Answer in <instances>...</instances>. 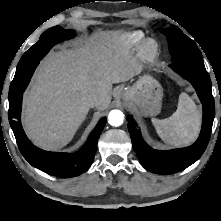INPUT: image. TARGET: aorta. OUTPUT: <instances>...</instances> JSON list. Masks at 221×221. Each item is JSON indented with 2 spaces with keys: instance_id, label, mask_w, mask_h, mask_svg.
<instances>
[{
  "instance_id": "762f6f07",
  "label": "aorta",
  "mask_w": 221,
  "mask_h": 221,
  "mask_svg": "<svg viewBox=\"0 0 221 221\" xmlns=\"http://www.w3.org/2000/svg\"><path fill=\"white\" fill-rule=\"evenodd\" d=\"M124 122V114L120 110H112L108 115V123L112 126L118 127Z\"/></svg>"
}]
</instances>
